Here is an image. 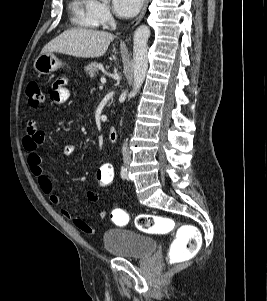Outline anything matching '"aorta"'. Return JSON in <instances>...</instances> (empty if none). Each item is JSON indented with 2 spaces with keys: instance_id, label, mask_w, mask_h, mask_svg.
Here are the masks:
<instances>
[{
  "instance_id": "1",
  "label": "aorta",
  "mask_w": 267,
  "mask_h": 301,
  "mask_svg": "<svg viewBox=\"0 0 267 301\" xmlns=\"http://www.w3.org/2000/svg\"><path fill=\"white\" fill-rule=\"evenodd\" d=\"M107 2L109 0H102ZM150 37V28L146 25L138 27L134 33L133 38V91L132 94L135 96L140 90L148 69V58H147V42Z\"/></svg>"
}]
</instances>
